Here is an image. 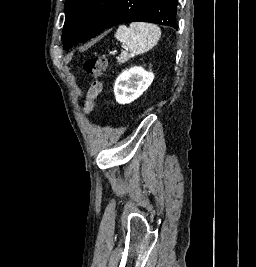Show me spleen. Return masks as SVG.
<instances>
[{"label": "spleen", "instance_id": "3e777b00", "mask_svg": "<svg viewBox=\"0 0 256 267\" xmlns=\"http://www.w3.org/2000/svg\"><path fill=\"white\" fill-rule=\"evenodd\" d=\"M160 36L161 30L156 24H145V22H132L129 28L119 26L115 34L116 40L125 44L133 56L152 50L158 44Z\"/></svg>", "mask_w": 256, "mask_h": 267}]
</instances>
